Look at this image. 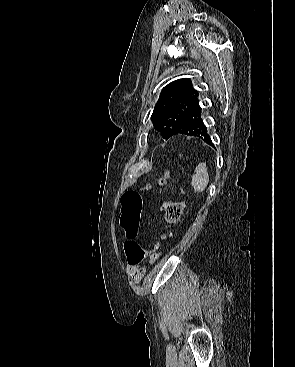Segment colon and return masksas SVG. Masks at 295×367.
<instances>
[{"label": "colon", "instance_id": "colon-1", "mask_svg": "<svg viewBox=\"0 0 295 367\" xmlns=\"http://www.w3.org/2000/svg\"><path fill=\"white\" fill-rule=\"evenodd\" d=\"M168 176V171L159 178L158 184H164ZM148 185L147 188H150ZM185 207L184 200L170 201L164 208V220L168 225L178 222ZM142 208L140 194L135 190H129L121 198V218L120 223L126 234L124 249L127 260L130 264L139 265L146 256L145 250L135 241L139 230V220ZM166 235H163V238ZM158 245L148 252L149 261L155 263L159 259Z\"/></svg>", "mask_w": 295, "mask_h": 367}]
</instances>
